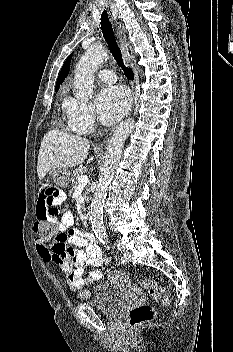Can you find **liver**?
Segmentation results:
<instances>
[{
    "mask_svg": "<svg viewBox=\"0 0 233 352\" xmlns=\"http://www.w3.org/2000/svg\"><path fill=\"white\" fill-rule=\"evenodd\" d=\"M90 142L87 139L58 130H50L42 139L37 164L38 178L42 180L53 168H72L87 158ZM93 157L87 161L91 163Z\"/></svg>",
    "mask_w": 233,
    "mask_h": 352,
    "instance_id": "1",
    "label": "liver"
}]
</instances>
